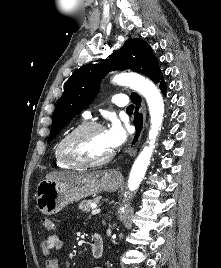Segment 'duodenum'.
<instances>
[{
	"instance_id": "duodenum-1",
	"label": "duodenum",
	"mask_w": 221,
	"mask_h": 268,
	"mask_svg": "<svg viewBox=\"0 0 221 268\" xmlns=\"http://www.w3.org/2000/svg\"><path fill=\"white\" fill-rule=\"evenodd\" d=\"M91 253L95 258H100L104 253V240L102 236L98 233H95L92 236Z\"/></svg>"
}]
</instances>
